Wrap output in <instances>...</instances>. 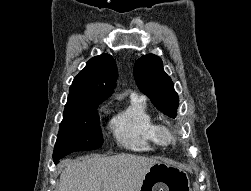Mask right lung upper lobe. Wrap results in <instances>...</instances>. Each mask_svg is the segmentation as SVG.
<instances>
[{"label":"right lung upper lobe","mask_w":251,"mask_h":191,"mask_svg":"<svg viewBox=\"0 0 251 191\" xmlns=\"http://www.w3.org/2000/svg\"><path fill=\"white\" fill-rule=\"evenodd\" d=\"M117 77L116 63L111 55L103 53L91 58L74 78L65 110L99 105L113 92Z\"/></svg>","instance_id":"1"}]
</instances>
